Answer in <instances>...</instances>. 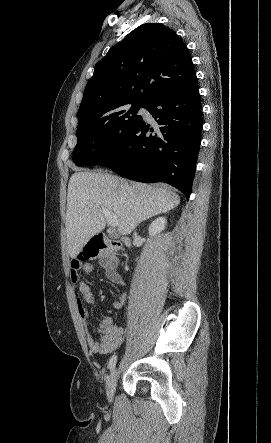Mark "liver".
<instances>
[{"label":"liver","mask_w":271,"mask_h":443,"mask_svg":"<svg viewBox=\"0 0 271 443\" xmlns=\"http://www.w3.org/2000/svg\"><path fill=\"white\" fill-rule=\"evenodd\" d=\"M180 204L174 192L147 184L130 182L111 174L76 172L69 180L66 212L68 253L77 257L85 243L103 231L102 208L113 212L118 231L128 235L138 223L173 210Z\"/></svg>","instance_id":"liver-1"}]
</instances>
